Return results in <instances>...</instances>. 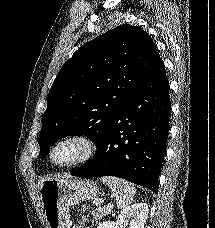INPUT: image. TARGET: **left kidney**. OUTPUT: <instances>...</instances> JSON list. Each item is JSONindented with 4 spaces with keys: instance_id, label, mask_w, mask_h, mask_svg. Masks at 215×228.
<instances>
[{
    "instance_id": "obj_1",
    "label": "left kidney",
    "mask_w": 215,
    "mask_h": 228,
    "mask_svg": "<svg viewBox=\"0 0 215 228\" xmlns=\"http://www.w3.org/2000/svg\"><path fill=\"white\" fill-rule=\"evenodd\" d=\"M149 208L147 204H133L124 208L119 214L115 228H144L148 218Z\"/></svg>"
}]
</instances>
